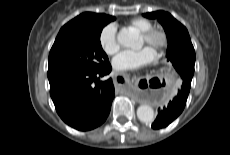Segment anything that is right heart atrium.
Returning <instances> with one entry per match:
<instances>
[{
    "instance_id": "d8ad5b80",
    "label": "right heart atrium",
    "mask_w": 230,
    "mask_h": 155,
    "mask_svg": "<svg viewBox=\"0 0 230 155\" xmlns=\"http://www.w3.org/2000/svg\"><path fill=\"white\" fill-rule=\"evenodd\" d=\"M99 44L106 55H114L120 48L116 27L113 24L104 26L99 34Z\"/></svg>"
}]
</instances>
